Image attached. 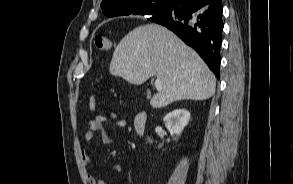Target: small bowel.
Wrapping results in <instances>:
<instances>
[{"mask_svg":"<svg viewBox=\"0 0 293 184\" xmlns=\"http://www.w3.org/2000/svg\"><path fill=\"white\" fill-rule=\"evenodd\" d=\"M110 124L116 127H125L127 125V121L124 118H119L116 113L111 112L107 115H98L92 118L88 123V130L84 134L83 139L86 143L92 142L94 139V134L96 132H100L102 136V140L105 144H109L112 142V138L109 135L106 126ZM83 162L86 166L91 164V159L89 156V152L87 149L82 151ZM113 170L121 173L123 171V167L120 164L113 165ZM87 182L88 184H106L102 180L96 179L93 175L87 174Z\"/></svg>","mask_w":293,"mask_h":184,"instance_id":"1","label":"small bowel"}]
</instances>
